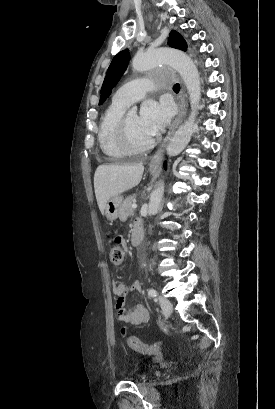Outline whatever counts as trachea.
<instances>
[{
  "label": "trachea",
  "instance_id": "trachea-1",
  "mask_svg": "<svg viewBox=\"0 0 275 409\" xmlns=\"http://www.w3.org/2000/svg\"><path fill=\"white\" fill-rule=\"evenodd\" d=\"M173 90H174V91H179V90H180V85H179L178 83H176V84L173 86Z\"/></svg>",
  "mask_w": 275,
  "mask_h": 409
}]
</instances>
